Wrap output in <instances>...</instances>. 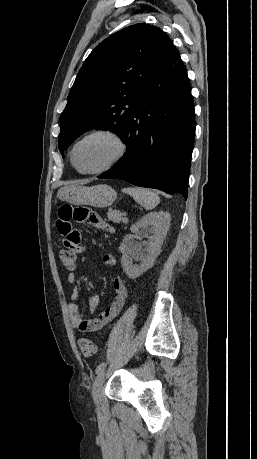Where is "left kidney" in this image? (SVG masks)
<instances>
[{
    "instance_id": "5707ae66",
    "label": "left kidney",
    "mask_w": 257,
    "mask_h": 459,
    "mask_svg": "<svg viewBox=\"0 0 257 459\" xmlns=\"http://www.w3.org/2000/svg\"><path fill=\"white\" fill-rule=\"evenodd\" d=\"M170 221L168 212H151L131 226L130 230L133 234L147 238L148 242L144 249L141 244L132 241H128L123 246L121 264L129 278L135 279L153 266L161 252ZM133 259L140 260V265H133Z\"/></svg>"
}]
</instances>
